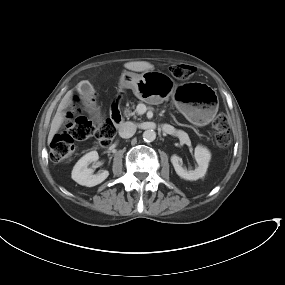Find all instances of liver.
I'll return each instance as SVG.
<instances>
[{
  "label": "liver",
  "mask_w": 285,
  "mask_h": 285,
  "mask_svg": "<svg viewBox=\"0 0 285 285\" xmlns=\"http://www.w3.org/2000/svg\"><path fill=\"white\" fill-rule=\"evenodd\" d=\"M124 67L126 69L135 71V72H143V71H150L154 69V65L150 64L149 62L146 61H132V62H127L124 64ZM84 81H81L78 85H77V90L80 91V87L82 85ZM72 91H68L65 96L62 98L57 112L54 116V118L52 119L51 122V128H50V132L48 135V145L51 143L53 137L55 136V134L58 132L59 128L61 127V125L64 122V116H65V112L64 110L69 107L72 104Z\"/></svg>",
  "instance_id": "1"
}]
</instances>
